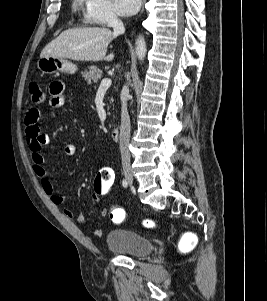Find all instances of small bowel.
<instances>
[{"label":"small bowel","instance_id":"c3829d8e","mask_svg":"<svg viewBox=\"0 0 267 301\" xmlns=\"http://www.w3.org/2000/svg\"><path fill=\"white\" fill-rule=\"evenodd\" d=\"M66 96L65 83L62 81L52 82L50 85V108L55 110L62 107L66 101ZM39 119L40 111L35 107L30 108L24 118L25 134L27 145L30 150L32 169L36 176L39 178L40 184L45 194L50 197L51 201L55 205H62L65 201V198L57 193L53 183L49 179L47 172L43 167L44 157L42 155V149L44 146L50 143V140L47 135L42 133L39 126ZM64 153L67 156H73L76 153V146L74 144H67L64 147ZM91 200L96 203H99L101 201L93 193H91ZM64 213L70 218L74 217V213L68 208L64 209ZM106 214V209H102L101 215L106 216ZM75 218L80 225L87 226V221L83 214L79 213L75 216ZM92 232L95 236L98 237H101L103 235V231L101 229H94Z\"/></svg>","mask_w":267,"mask_h":301}]
</instances>
